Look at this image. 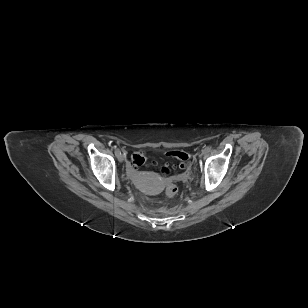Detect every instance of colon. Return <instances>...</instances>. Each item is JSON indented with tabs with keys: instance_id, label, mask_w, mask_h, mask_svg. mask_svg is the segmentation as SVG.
I'll return each instance as SVG.
<instances>
[{
	"instance_id": "5ec220e1",
	"label": "colon",
	"mask_w": 308,
	"mask_h": 308,
	"mask_svg": "<svg viewBox=\"0 0 308 308\" xmlns=\"http://www.w3.org/2000/svg\"><path fill=\"white\" fill-rule=\"evenodd\" d=\"M168 155L171 157H174L179 160V167L184 168L187 165L188 162V155L185 152L182 151H170L168 152ZM145 157L142 153H135L132 156V161L136 166H141L145 163ZM178 192V186L175 182L170 181L168 182L165 193L168 197H174Z\"/></svg>"
}]
</instances>
